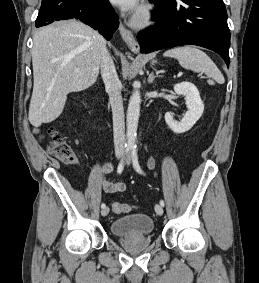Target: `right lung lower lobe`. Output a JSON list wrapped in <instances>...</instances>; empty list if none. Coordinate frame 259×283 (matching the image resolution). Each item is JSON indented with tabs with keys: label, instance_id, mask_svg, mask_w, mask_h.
Wrapping results in <instances>:
<instances>
[{
	"label": "right lung lower lobe",
	"instance_id": "obj_1",
	"mask_svg": "<svg viewBox=\"0 0 259 283\" xmlns=\"http://www.w3.org/2000/svg\"><path fill=\"white\" fill-rule=\"evenodd\" d=\"M76 18L99 31L107 40L119 26L118 16L108 0H42L36 27L54 20Z\"/></svg>",
	"mask_w": 259,
	"mask_h": 283
}]
</instances>
